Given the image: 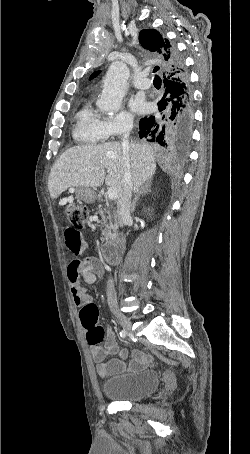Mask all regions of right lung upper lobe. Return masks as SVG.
<instances>
[{"label": "right lung upper lobe", "mask_w": 250, "mask_h": 454, "mask_svg": "<svg viewBox=\"0 0 250 454\" xmlns=\"http://www.w3.org/2000/svg\"><path fill=\"white\" fill-rule=\"evenodd\" d=\"M139 41L143 48L152 52L155 59L160 61L158 69L164 74L172 72L171 55L169 53L170 42L164 38L157 30L146 29L140 31ZM100 71L94 72L90 79L96 77Z\"/></svg>", "instance_id": "right-lung-upper-lobe-1"}]
</instances>
